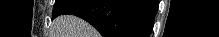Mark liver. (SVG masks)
Instances as JSON below:
<instances>
[{
    "label": "liver",
    "mask_w": 219,
    "mask_h": 37,
    "mask_svg": "<svg viewBox=\"0 0 219 37\" xmlns=\"http://www.w3.org/2000/svg\"><path fill=\"white\" fill-rule=\"evenodd\" d=\"M54 37H97L96 30L73 15H62L53 22Z\"/></svg>",
    "instance_id": "liver-1"
}]
</instances>
